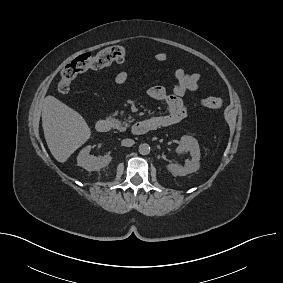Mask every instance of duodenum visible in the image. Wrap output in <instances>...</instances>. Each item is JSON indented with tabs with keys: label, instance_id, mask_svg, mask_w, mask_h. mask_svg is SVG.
<instances>
[{
	"label": "duodenum",
	"instance_id": "duodenum-1",
	"mask_svg": "<svg viewBox=\"0 0 283 283\" xmlns=\"http://www.w3.org/2000/svg\"><path fill=\"white\" fill-rule=\"evenodd\" d=\"M158 128V123L152 119L148 118L145 120H141L136 122L132 126V133L134 135H143ZM112 129V123L110 120L101 119L96 123V130L99 133H108Z\"/></svg>",
	"mask_w": 283,
	"mask_h": 283
}]
</instances>
